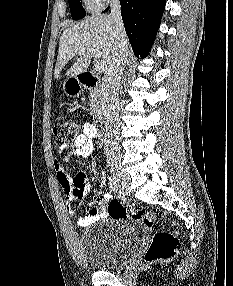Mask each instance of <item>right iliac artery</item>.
Returning <instances> with one entry per match:
<instances>
[{
	"label": "right iliac artery",
	"instance_id": "obj_1",
	"mask_svg": "<svg viewBox=\"0 0 233 286\" xmlns=\"http://www.w3.org/2000/svg\"><path fill=\"white\" fill-rule=\"evenodd\" d=\"M109 185L113 192H117L119 190V185L117 183V180L115 179L114 176H109Z\"/></svg>",
	"mask_w": 233,
	"mask_h": 286
}]
</instances>
